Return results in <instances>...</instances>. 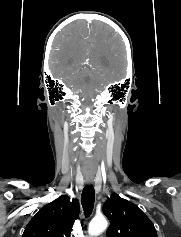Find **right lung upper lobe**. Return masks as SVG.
I'll return each instance as SVG.
<instances>
[{"mask_svg": "<svg viewBox=\"0 0 181 237\" xmlns=\"http://www.w3.org/2000/svg\"><path fill=\"white\" fill-rule=\"evenodd\" d=\"M79 215L76 199L62 195L43 206L27 224L22 237H70Z\"/></svg>", "mask_w": 181, "mask_h": 237, "instance_id": "cb5924a9", "label": "right lung upper lobe"}]
</instances>
